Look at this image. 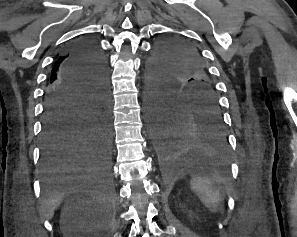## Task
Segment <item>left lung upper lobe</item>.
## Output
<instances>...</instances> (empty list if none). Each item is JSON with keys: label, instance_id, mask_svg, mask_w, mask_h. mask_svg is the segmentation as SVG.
<instances>
[{"label": "left lung upper lobe", "instance_id": "5c2ea615", "mask_svg": "<svg viewBox=\"0 0 297 237\" xmlns=\"http://www.w3.org/2000/svg\"><path fill=\"white\" fill-rule=\"evenodd\" d=\"M148 82L150 97H168L180 104L203 100L219 104L199 53L183 41L165 39L157 45Z\"/></svg>", "mask_w": 297, "mask_h": 237}]
</instances>
